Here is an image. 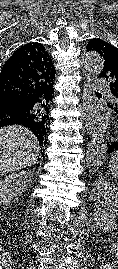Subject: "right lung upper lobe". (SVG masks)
I'll use <instances>...</instances> for the list:
<instances>
[{"label": "right lung upper lobe", "mask_w": 118, "mask_h": 269, "mask_svg": "<svg viewBox=\"0 0 118 269\" xmlns=\"http://www.w3.org/2000/svg\"><path fill=\"white\" fill-rule=\"evenodd\" d=\"M55 73L48 52L37 42L17 49L5 62L0 73V95L14 94L36 99L37 112L32 131L39 140L47 132Z\"/></svg>", "instance_id": "cb5924a9"}]
</instances>
